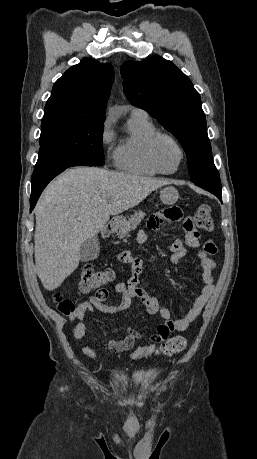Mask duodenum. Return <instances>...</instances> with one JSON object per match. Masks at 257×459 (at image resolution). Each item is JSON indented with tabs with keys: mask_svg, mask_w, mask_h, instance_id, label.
I'll list each match as a JSON object with an SVG mask.
<instances>
[{
	"mask_svg": "<svg viewBox=\"0 0 257 459\" xmlns=\"http://www.w3.org/2000/svg\"><path fill=\"white\" fill-rule=\"evenodd\" d=\"M117 226V221H111L101 232L103 238H108Z\"/></svg>",
	"mask_w": 257,
	"mask_h": 459,
	"instance_id": "1",
	"label": "duodenum"
}]
</instances>
